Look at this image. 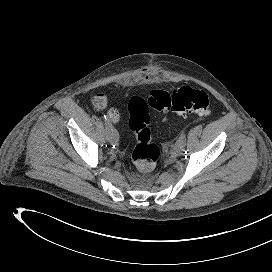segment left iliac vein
I'll return each mask as SVG.
<instances>
[{
  "label": "left iliac vein",
  "mask_w": 272,
  "mask_h": 272,
  "mask_svg": "<svg viewBox=\"0 0 272 272\" xmlns=\"http://www.w3.org/2000/svg\"><path fill=\"white\" fill-rule=\"evenodd\" d=\"M174 153L180 155L183 151V146H180L178 143L174 146Z\"/></svg>",
  "instance_id": "4c4485c4"
}]
</instances>
